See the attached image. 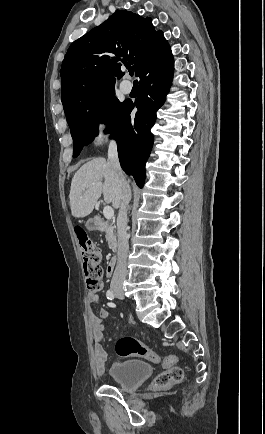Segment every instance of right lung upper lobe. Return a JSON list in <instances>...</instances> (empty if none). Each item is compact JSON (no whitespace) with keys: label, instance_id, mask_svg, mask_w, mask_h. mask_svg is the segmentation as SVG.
<instances>
[{"label":"right lung upper lobe","instance_id":"1","mask_svg":"<svg viewBox=\"0 0 265 434\" xmlns=\"http://www.w3.org/2000/svg\"><path fill=\"white\" fill-rule=\"evenodd\" d=\"M170 50L163 32L149 17L117 10L104 23L73 42L62 62V102L74 100L120 78L121 64H133L136 75L143 65Z\"/></svg>","mask_w":265,"mask_h":434}]
</instances>
